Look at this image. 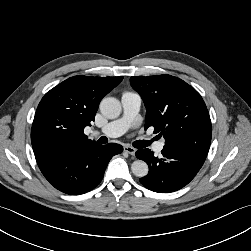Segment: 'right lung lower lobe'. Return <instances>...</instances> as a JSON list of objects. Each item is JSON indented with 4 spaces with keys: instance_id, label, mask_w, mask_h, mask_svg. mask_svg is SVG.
Returning a JSON list of instances; mask_svg holds the SVG:
<instances>
[{
    "instance_id": "obj_1",
    "label": "right lung lower lobe",
    "mask_w": 251,
    "mask_h": 251,
    "mask_svg": "<svg viewBox=\"0 0 251 251\" xmlns=\"http://www.w3.org/2000/svg\"><path fill=\"white\" fill-rule=\"evenodd\" d=\"M119 144L97 143L54 153L35 155L44 177L61 192L79 195L95 188L102 180L111 158L120 154Z\"/></svg>"
}]
</instances>
